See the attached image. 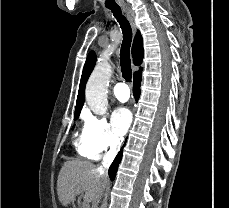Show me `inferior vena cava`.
<instances>
[{"mask_svg": "<svg viewBox=\"0 0 229 208\" xmlns=\"http://www.w3.org/2000/svg\"><path fill=\"white\" fill-rule=\"evenodd\" d=\"M115 156H116V152H114V154L113 152H107V154H105L103 158L102 166L98 168V172L100 176H102L104 182H106L107 180V176H106L107 168L108 166H110V164H112Z\"/></svg>", "mask_w": 229, "mask_h": 208, "instance_id": "1", "label": "inferior vena cava"}]
</instances>
